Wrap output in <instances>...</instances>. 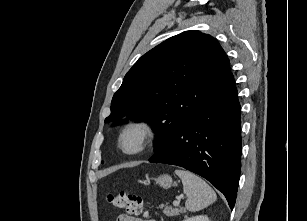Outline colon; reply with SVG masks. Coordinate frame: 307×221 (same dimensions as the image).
<instances>
[{"label":"colon","mask_w":307,"mask_h":221,"mask_svg":"<svg viewBox=\"0 0 307 221\" xmlns=\"http://www.w3.org/2000/svg\"><path fill=\"white\" fill-rule=\"evenodd\" d=\"M108 202L117 209H123L129 214L139 215L145 213L146 202L139 196L127 194L123 191L108 194Z\"/></svg>","instance_id":"obj_1"}]
</instances>
